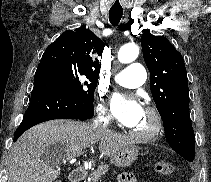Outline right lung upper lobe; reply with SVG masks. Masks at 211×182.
Listing matches in <instances>:
<instances>
[{"mask_svg":"<svg viewBox=\"0 0 211 182\" xmlns=\"http://www.w3.org/2000/svg\"><path fill=\"white\" fill-rule=\"evenodd\" d=\"M104 46V42L88 29L68 30L46 48L39 66L47 67L55 62L98 78L101 64L94 55L100 56Z\"/></svg>","mask_w":211,"mask_h":182,"instance_id":"1","label":"right lung upper lobe"}]
</instances>
